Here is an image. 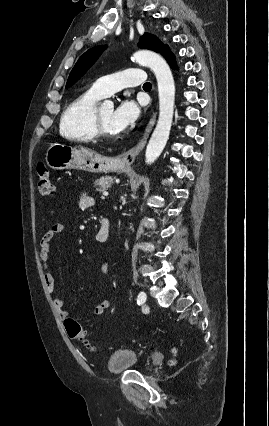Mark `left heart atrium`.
<instances>
[{"label": "left heart atrium", "instance_id": "obj_1", "mask_svg": "<svg viewBox=\"0 0 269 426\" xmlns=\"http://www.w3.org/2000/svg\"><path fill=\"white\" fill-rule=\"evenodd\" d=\"M140 115V107L132 100H125L113 111L112 124L117 131L133 125Z\"/></svg>", "mask_w": 269, "mask_h": 426}]
</instances>
